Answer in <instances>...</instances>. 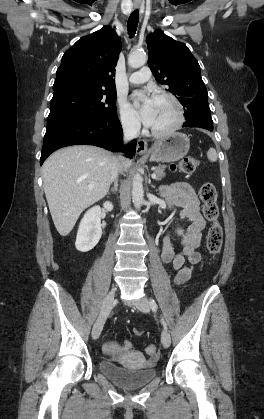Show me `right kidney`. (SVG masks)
I'll return each instance as SVG.
<instances>
[{"label":"right kidney","instance_id":"right-kidney-1","mask_svg":"<svg viewBox=\"0 0 264 419\" xmlns=\"http://www.w3.org/2000/svg\"><path fill=\"white\" fill-rule=\"evenodd\" d=\"M107 211H112L111 202L103 204ZM102 235L101 228V208L94 206L89 209L82 218L77 232L75 246L80 252H88L99 242Z\"/></svg>","mask_w":264,"mask_h":419}]
</instances>
